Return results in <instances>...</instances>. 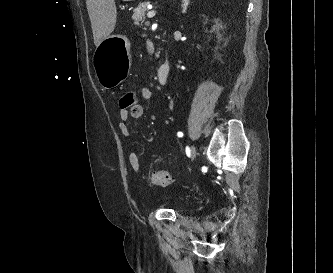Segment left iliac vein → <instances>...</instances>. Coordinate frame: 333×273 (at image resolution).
Instances as JSON below:
<instances>
[{
    "instance_id": "4c4485c4",
    "label": "left iliac vein",
    "mask_w": 333,
    "mask_h": 273,
    "mask_svg": "<svg viewBox=\"0 0 333 273\" xmlns=\"http://www.w3.org/2000/svg\"><path fill=\"white\" fill-rule=\"evenodd\" d=\"M196 154H197L196 148L194 146H192L191 150H190V159H191V161H193L195 159Z\"/></svg>"
}]
</instances>
